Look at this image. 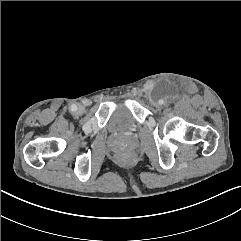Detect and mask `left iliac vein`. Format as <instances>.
Instances as JSON below:
<instances>
[{"label":"left iliac vein","instance_id":"left-iliac-vein-1","mask_svg":"<svg viewBox=\"0 0 241 241\" xmlns=\"http://www.w3.org/2000/svg\"><path fill=\"white\" fill-rule=\"evenodd\" d=\"M156 107H159V104L158 103H154Z\"/></svg>","mask_w":241,"mask_h":241}]
</instances>
